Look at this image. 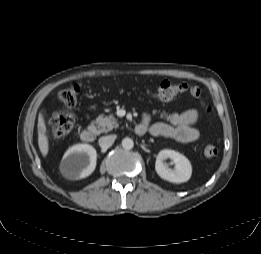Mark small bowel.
Returning <instances> with one entry per match:
<instances>
[{"mask_svg":"<svg viewBox=\"0 0 261 254\" xmlns=\"http://www.w3.org/2000/svg\"><path fill=\"white\" fill-rule=\"evenodd\" d=\"M164 121L151 124V115L146 114L139 124L142 134L149 132L153 136L169 137L182 143L195 142L200 132L193 125L199 119V112L192 108L181 113L162 114Z\"/></svg>","mask_w":261,"mask_h":254,"instance_id":"obj_1","label":"small bowel"}]
</instances>
